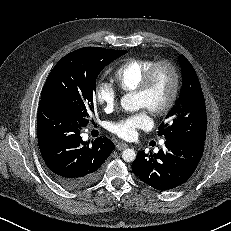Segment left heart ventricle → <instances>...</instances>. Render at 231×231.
I'll return each instance as SVG.
<instances>
[{
    "mask_svg": "<svg viewBox=\"0 0 231 231\" xmlns=\"http://www.w3.org/2000/svg\"><path fill=\"white\" fill-rule=\"evenodd\" d=\"M172 88V74L166 67L157 70L149 92L146 95H135L138 107H160L168 99Z\"/></svg>",
    "mask_w": 231,
    "mask_h": 231,
    "instance_id": "b2bd125f",
    "label": "left heart ventricle"
}]
</instances>
